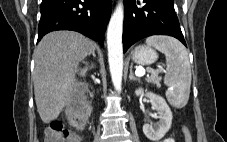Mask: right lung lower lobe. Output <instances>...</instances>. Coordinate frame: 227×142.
<instances>
[{
	"label": "right lung lower lobe",
	"instance_id": "1",
	"mask_svg": "<svg viewBox=\"0 0 227 142\" xmlns=\"http://www.w3.org/2000/svg\"><path fill=\"white\" fill-rule=\"evenodd\" d=\"M38 41L56 30H72L104 44L111 0H42Z\"/></svg>",
	"mask_w": 227,
	"mask_h": 142
}]
</instances>
